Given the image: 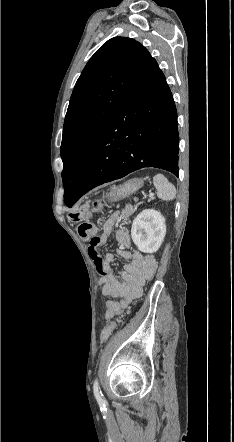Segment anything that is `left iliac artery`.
Instances as JSON below:
<instances>
[{
	"label": "left iliac artery",
	"mask_w": 234,
	"mask_h": 442,
	"mask_svg": "<svg viewBox=\"0 0 234 442\" xmlns=\"http://www.w3.org/2000/svg\"><path fill=\"white\" fill-rule=\"evenodd\" d=\"M93 392H94V396L96 398V400L98 401L99 404H103L105 402L103 394L100 390L99 387V383L98 380L95 379L94 384H93Z\"/></svg>",
	"instance_id": "left-iliac-artery-1"
}]
</instances>
